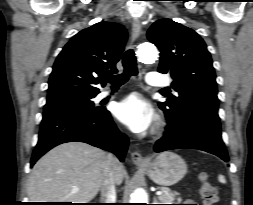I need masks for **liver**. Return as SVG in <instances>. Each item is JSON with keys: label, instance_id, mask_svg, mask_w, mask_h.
<instances>
[{"label": "liver", "instance_id": "obj_1", "mask_svg": "<svg viewBox=\"0 0 253 205\" xmlns=\"http://www.w3.org/2000/svg\"><path fill=\"white\" fill-rule=\"evenodd\" d=\"M107 155L103 150L81 142L61 144L42 158L31 170L28 197L31 202L88 203L103 181ZM115 182L121 184L125 170L113 160ZM78 187L74 192L73 188Z\"/></svg>", "mask_w": 253, "mask_h": 205}]
</instances>
